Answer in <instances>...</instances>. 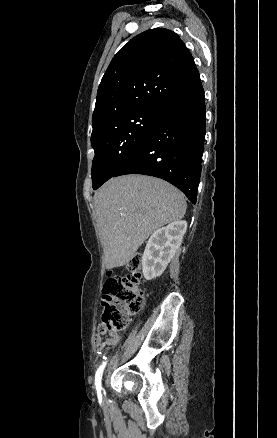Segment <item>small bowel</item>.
<instances>
[{
    "label": "small bowel",
    "mask_w": 277,
    "mask_h": 438,
    "mask_svg": "<svg viewBox=\"0 0 277 438\" xmlns=\"http://www.w3.org/2000/svg\"><path fill=\"white\" fill-rule=\"evenodd\" d=\"M119 341H120V336L117 333H113V334H110L106 338L104 344L107 346H114V345H117L119 343ZM93 344L95 346H98L100 344V349H101L102 348V338L98 336L97 339H95L93 341ZM100 349H98V350H100Z\"/></svg>",
    "instance_id": "obj_1"
}]
</instances>
